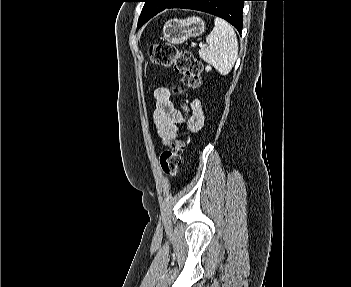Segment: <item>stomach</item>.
<instances>
[{
  "instance_id": "0dacf381",
  "label": "stomach",
  "mask_w": 351,
  "mask_h": 287,
  "mask_svg": "<svg viewBox=\"0 0 351 287\" xmlns=\"http://www.w3.org/2000/svg\"><path fill=\"white\" fill-rule=\"evenodd\" d=\"M205 31V22L199 17L168 20L163 27V38L171 44L184 43Z\"/></svg>"
}]
</instances>
